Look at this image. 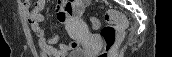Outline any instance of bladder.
Masks as SVG:
<instances>
[{
  "instance_id": "31cf9c89",
  "label": "bladder",
  "mask_w": 172,
  "mask_h": 57,
  "mask_svg": "<svg viewBox=\"0 0 172 57\" xmlns=\"http://www.w3.org/2000/svg\"><path fill=\"white\" fill-rule=\"evenodd\" d=\"M68 57H86V56L83 55V53H75V54L69 55Z\"/></svg>"
}]
</instances>
